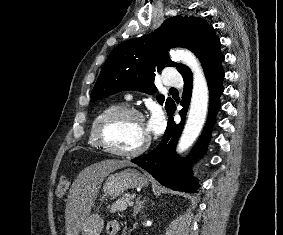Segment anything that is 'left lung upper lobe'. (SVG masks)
<instances>
[{
  "mask_svg": "<svg viewBox=\"0 0 283 235\" xmlns=\"http://www.w3.org/2000/svg\"><path fill=\"white\" fill-rule=\"evenodd\" d=\"M173 47H184L195 53L204 72L224 61L220 40L206 21L181 15L171 17L155 32L127 40L112 50L91 92V101L124 90L152 94L157 91L155 74L167 66H176L184 79L192 77L188 67L169 59L167 50ZM157 100L165 103L169 114L174 101L160 95Z\"/></svg>",
  "mask_w": 283,
  "mask_h": 235,
  "instance_id": "5c2ea615",
  "label": "left lung upper lobe"
}]
</instances>
